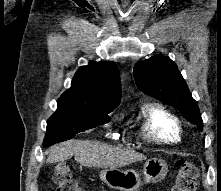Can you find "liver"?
Here are the masks:
<instances>
[{"mask_svg":"<svg viewBox=\"0 0 221 191\" xmlns=\"http://www.w3.org/2000/svg\"><path fill=\"white\" fill-rule=\"evenodd\" d=\"M72 156L82 166L105 169L119 168L146 159V156L135 151L113 148L89 140H70L52 147L47 162L57 163Z\"/></svg>","mask_w":221,"mask_h":191,"instance_id":"liver-1","label":"liver"}]
</instances>
